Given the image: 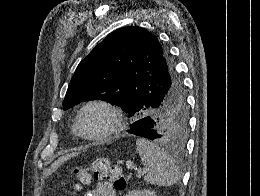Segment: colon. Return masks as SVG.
<instances>
[{"mask_svg": "<svg viewBox=\"0 0 260 196\" xmlns=\"http://www.w3.org/2000/svg\"><path fill=\"white\" fill-rule=\"evenodd\" d=\"M77 180L83 184L92 181L111 182L123 185V172L118 165H111L107 160H95L87 167L76 171Z\"/></svg>", "mask_w": 260, "mask_h": 196, "instance_id": "5ec220e1", "label": "colon"}]
</instances>
